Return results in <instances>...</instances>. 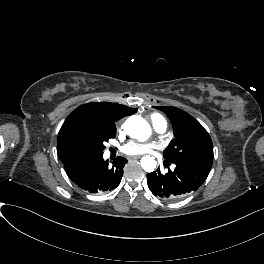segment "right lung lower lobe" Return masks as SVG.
I'll return each instance as SVG.
<instances>
[{"label":"right lung lower lobe","mask_w":264,"mask_h":264,"mask_svg":"<svg viewBox=\"0 0 264 264\" xmlns=\"http://www.w3.org/2000/svg\"><path fill=\"white\" fill-rule=\"evenodd\" d=\"M124 167V162H120L113 169L105 172L103 175L80 185L81 188L95 193L98 191L112 190L118 186L120 179L122 177V170Z\"/></svg>","instance_id":"1"}]
</instances>
